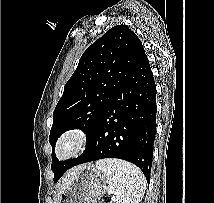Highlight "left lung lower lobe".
<instances>
[{"mask_svg": "<svg viewBox=\"0 0 214 203\" xmlns=\"http://www.w3.org/2000/svg\"><path fill=\"white\" fill-rule=\"evenodd\" d=\"M156 93L145 54L100 115L85 151L68 169L103 158H118L138 166L148 182L157 126Z\"/></svg>", "mask_w": 214, "mask_h": 203, "instance_id": "obj_1", "label": "left lung lower lobe"}]
</instances>
